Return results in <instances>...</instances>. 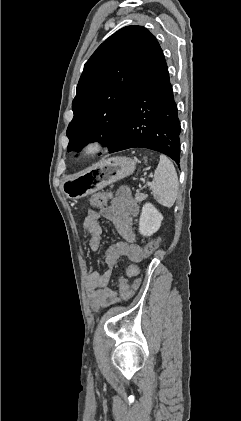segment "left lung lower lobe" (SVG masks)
Wrapping results in <instances>:
<instances>
[{"instance_id": "obj_1", "label": "left lung lower lobe", "mask_w": 241, "mask_h": 421, "mask_svg": "<svg viewBox=\"0 0 241 421\" xmlns=\"http://www.w3.org/2000/svg\"><path fill=\"white\" fill-rule=\"evenodd\" d=\"M180 121L167 64L157 42L136 87L123 128L109 153L143 147L180 162Z\"/></svg>"}]
</instances>
